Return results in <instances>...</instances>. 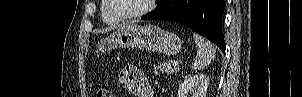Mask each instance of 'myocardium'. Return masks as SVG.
I'll return each mask as SVG.
<instances>
[{
	"label": "myocardium",
	"mask_w": 302,
	"mask_h": 97,
	"mask_svg": "<svg viewBox=\"0 0 302 97\" xmlns=\"http://www.w3.org/2000/svg\"><path fill=\"white\" fill-rule=\"evenodd\" d=\"M105 2L108 6V9H109V12L111 13V15L114 18L118 19L119 21L124 22V21L134 20V19L143 17L146 14H148L153 9L155 0H146L147 3L144 8H142L140 11L130 14V15L119 14L114 8L113 0H105Z\"/></svg>",
	"instance_id": "obj_1"
}]
</instances>
